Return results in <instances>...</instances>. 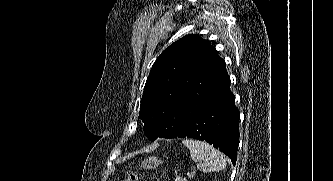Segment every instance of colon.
I'll use <instances>...</instances> for the list:
<instances>
[{
  "label": "colon",
  "mask_w": 333,
  "mask_h": 181,
  "mask_svg": "<svg viewBox=\"0 0 333 181\" xmlns=\"http://www.w3.org/2000/svg\"><path fill=\"white\" fill-rule=\"evenodd\" d=\"M164 159L160 156H149L141 161L139 166L133 170H129L126 177L122 181H139L142 172L155 170L162 167Z\"/></svg>",
  "instance_id": "colon-1"
}]
</instances>
